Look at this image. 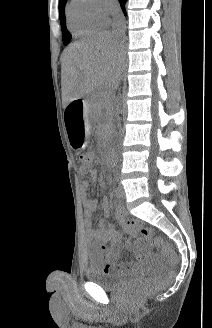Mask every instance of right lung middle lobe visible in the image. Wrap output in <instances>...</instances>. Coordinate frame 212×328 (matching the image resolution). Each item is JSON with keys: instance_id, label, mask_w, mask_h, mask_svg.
<instances>
[{"instance_id": "right-lung-middle-lobe-1", "label": "right lung middle lobe", "mask_w": 212, "mask_h": 328, "mask_svg": "<svg viewBox=\"0 0 212 328\" xmlns=\"http://www.w3.org/2000/svg\"><path fill=\"white\" fill-rule=\"evenodd\" d=\"M67 0L59 1V15H60V23L62 30V39L64 44H68L72 38L71 34L68 33L66 24H65V3Z\"/></svg>"}]
</instances>
